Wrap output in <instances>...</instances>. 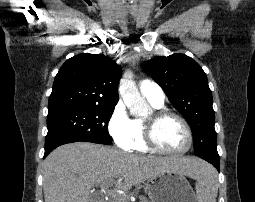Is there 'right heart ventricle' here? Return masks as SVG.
Masks as SVG:
<instances>
[{
    "instance_id": "1",
    "label": "right heart ventricle",
    "mask_w": 255,
    "mask_h": 202,
    "mask_svg": "<svg viewBox=\"0 0 255 202\" xmlns=\"http://www.w3.org/2000/svg\"><path fill=\"white\" fill-rule=\"evenodd\" d=\"M155 109H160L162 105H155L150 103ZM133 126V141L131 145V149L140 151V152H148L150 151L144 141V127L142 119H134L132 120Z\"/></svg>"
}]
</instances>
